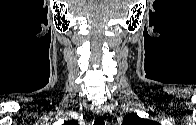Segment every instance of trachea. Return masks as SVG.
Returning a JSON list of instances; mask_svg holds the SVG:
<instances>
[{"label":"trachea","instance_id":"1","mask_svg":"<svg viewBox=\"0 0 196 125\" xmlns=\"http://www.w3.org/2000/svg\"><path fill=\"white\" fill-rule=\"evenodd\" d=\"M94 125H105V121H104L103 117L96 118L94 121Z\"/></svg>","mask_w":196,"mask_h":125}]
</instances>
